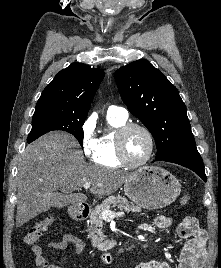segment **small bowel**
<instances>
[{
  "label": "small bowel",
  "instance_id": "obj_1",
  "mask_svg": "<svg viewBox=\"0 0 221 268\" xmlns=\"http://www.w3.org/2000/svg\"><path fill=\"white\" fill-rule=\"evenodd\" d=\"M172 219L168 216H157L152 223H143L138 229L146 232H156L167 229L172 225ZM179 236L186 240L182 249L178 268H202L206 258L207 232L199 226L198 220L193 216L184 217L177 225ZM72 246L76 253L85 249V243L77 236L66 234L61 239L53 240L43 245L32 247L34 264L36 268H62L52 264L44 256V249L65 250ZM135 268H172L166 261L153 260L140 263Z\"/></svg>",
  "mask_w": 221,
  "mask_h": 268
}]
</instances>
